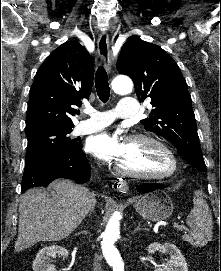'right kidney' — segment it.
Instances as JSON below:
<instances>
[{
  "mask_svg": "<svg viewBox=\"0 0 221 271\" xmlns=\"http://www.w3.org/2000/svg\"><path fill=\"white\" fill-rule=\"evenodd\" d=\"M64 255V257H68L69 251L66 247H62V245H45L42 249H39L33 263V271H57L55 265L50 263L51 257H55V255Z\"/></svg>",
  "mask_w": 221,
  "mask_h": 271,
  "instance_id": "ca27d5eb",
  "label": "right kidney"
}]
</instances>
